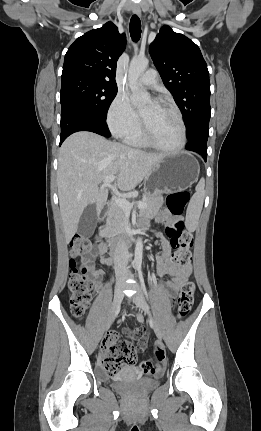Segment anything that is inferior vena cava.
Segmentation results:
<instances>
[{"label": "inferior vena cava", "instance_id": "inferior-vena-cava-1", "mask_svg": "<svg viewBox=\"0 0 261 431\" xmlns=\"http://www.w3.org/2000/svg\"><path fill=\"white\" fill-rule=\"evenodd\" d=\"M115 259L120 261L115 266V274L117 277H123L127 274V259H128V248L125 241L119 238L115 246Z\"/></svg>", "mask_w": 261, "mask_h": 431}]
</instances>
